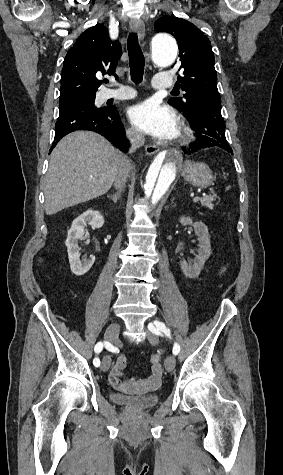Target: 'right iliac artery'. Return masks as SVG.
I'll return each mask as SVG.
<instances>
[{
    "label": "right iliac artery",
    "instance_id": "1",
    "mask_svg": "<svg viewBox=\"0 0 283 475\" xmlns=\"http://www.w3.org/2000/svg\"><path fill=\"white\" fill-rule=\"evenodd\" d=\"M105 344H106V343H105ZM102 349H103V343H102V342H98V343L95 345L94 351H95V353H100V352L102 351ZM93 364H94V366H96V367L100 366V360H99V358H95V359L93 360Z\"/></svg>",
    "mask_w": 283,
    "mask_h": 475
}]
</instances>
